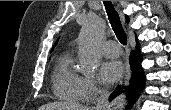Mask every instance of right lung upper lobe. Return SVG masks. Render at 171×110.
Returning a JSON list of instances; mask_svg holds the SVG:
<instances>
[{"instance_id": "right-lung-upper-lobe-1", "label": "right lung upper lobe", "mask_w": 171, "mask_h": 110, "mask_svg": "<svg viewBox=\"0 0 171 110\" xmlns=\"http://www.w3.org/2000/svg\"><path fill=\"white\" fill-rule=\"evenodd\" d=\"M126 21L129 22V18H128V17H126ZM55 45H56V44H55ZM55 45H54V46H55ZM52 50H53V48H52Z\"/></svg>"}]
</instances>
